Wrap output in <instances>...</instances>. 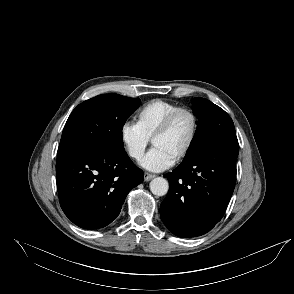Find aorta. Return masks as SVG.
<instances>
[{"mask_svg": "<svg viewBox=\"0 0 294 294\" xmlns=\"http://www.w3.org/2000/svg\"><path fill=\"white\" fill-rule=\"evenodd\" d=\"M169 189V183L166 179L162 177L154 178L150 182V190L154 195L164 196L167 194Z\"/></svg>", "mask_w": 294, "mask_h": 294, "instance_id": "aorta-1", "label": "aorta"}]
</instances>
